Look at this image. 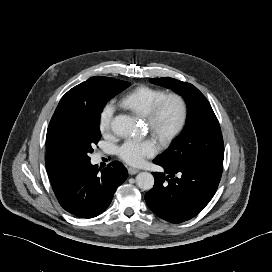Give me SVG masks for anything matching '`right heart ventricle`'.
Wrapping results in <instances>:
<instances>
[{
  "mask_svg": "<svg viewBox=\"0 0 272 272\" xmlns=\"http://www.w3.org/2000/svg\"><path fill=\"white\" fill-rule=\"evenodd\" d=\"M165 94V91L149 86H139L129 92L121 101L123 107L146 117L155 103Z\"/></svg>",
  "mask_w": 272,
  "mask_h": 272,
  "instance_id": "1",
  "label": "right heart ventricle"
}]
</instances>
